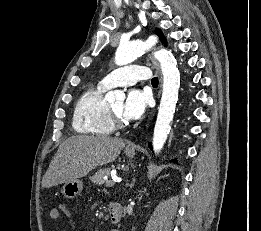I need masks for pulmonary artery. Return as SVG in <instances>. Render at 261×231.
Segmentation results:
<instances>
[{"label": "pulmonary artery", "mask_w": 261, "mask_h": 231, "mask_svg": "<svg viewBox=\"0 0 261 231\" xmlns=\"http://www.w3.org/2000/svg\"><path fill=\"white\" fill-rule=\"evenodd\" d=\"M149 76L150 70L145 66H124L109 72L100 84L106 88L126 86L148 80Z\"/></svg>", "instance_id": "pulmonary-artery-1"}]
</instances>
